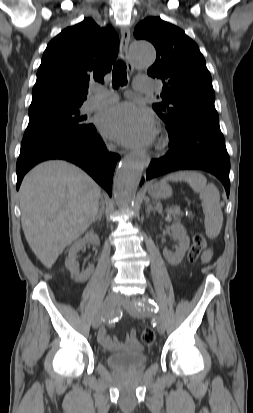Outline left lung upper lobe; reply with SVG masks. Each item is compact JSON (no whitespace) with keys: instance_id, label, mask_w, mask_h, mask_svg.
<instances>
[{"instance_id":"5c2ea615","label":"left lung upper lobe","mask_w":253,"mask_h":413,"mask_svg":"<svg viewBox=\"0 0 253 413\" xmlns=\"http://www.w3.org/2000/svg\"><path fill=\"white\" fill-rule=\"evenodd\" d=\"M136 39L150 41L157 58L148 75L163 82L162 101L153 109L168 128L195 119L219 121L211 75L197 44L183 30L160 17H148L134 30Z\"/></svg>"}]
</instances>
